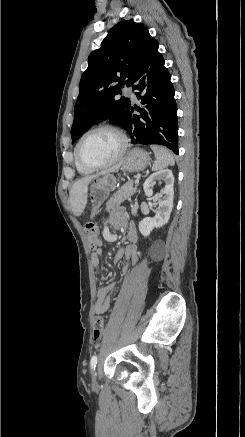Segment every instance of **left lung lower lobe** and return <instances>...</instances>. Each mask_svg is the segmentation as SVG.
Wrapping results in <instances>:
<instances>
[{"label":"left lung lower lobe","mask_w":245,"mask_h":437,"mask_svg":"<svg viewBox=\"0 0 245 437\" xmlns=\"http://www.w3.org/2000/svg\"><path fill=\"white\" fill-rule=\"evenodd\" d=\"M170 78L156 46L142 63L133 84L144 109L135 107L141 113L138 116L132 114L134 108L130 107L125 129L133 144L163 145L178 154L177 106ZM144 90L146 93L141 96Z\"/></svg>","instance_id":"0a47b994"}]
</instances>
